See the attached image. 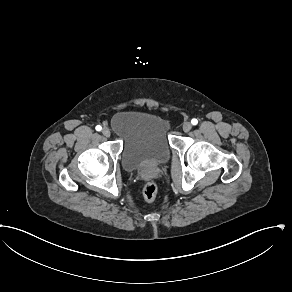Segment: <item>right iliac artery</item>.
<instances>
[{
  "label": "right iliac artery",
  "instance_id": "82829eb1",
  "mask_svg": "<svg viewBox=\"0 0 292 292\" xmlns=\"http://www.w3.org/2000/svg\"><path fill=\"white\" fill-rule=\"evenodd\" d=\"M96 130H97V131H101V130H102V127H101L100 125H97V126H96Z\"/></svg>",
  "mask_w": 292,
  "mask_h": 292
}]
</instances>
